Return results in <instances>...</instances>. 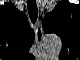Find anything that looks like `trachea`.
<instances>
[{"mask_svg":"<svg viewBox=\"0 0 80 60\" xmlns=\"http://www.w3.org/2000/svg\"><path fill=\"white\" fill-rule=\"evenodd\" d=\"M27 8H28V14H29L30 20L34 24L38 17L36 0H27Z\"/></svg>","mask_w":80,"mask_h":60,"instance_id":"trachea-1","label":"trachea"}]
</instances>
